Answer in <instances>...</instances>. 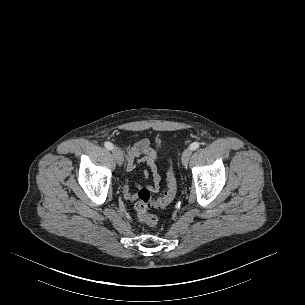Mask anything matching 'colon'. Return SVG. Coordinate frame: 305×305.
Masks as SVG:
<instances>
[{"label": "colon", "instance_id": "obj_1", "mask_svg": "<svg viewBox=\"0 0 305 305\" xmlns=\"http://www.w3.org/2000/svg\"><path fill=\"white\" fill-rule=\"evenodd\" d=\"M166 180V191L156 200L152 199L151 191L147 188H142L138 192L137 201L135 203L137 217L150 228H156L158 226V218L149 212L150 209L166 207L176 196L177 182L171 167L167 170Z\"/></svg>", "mask_w": 305, "mask_h": 305}]
</instances>
